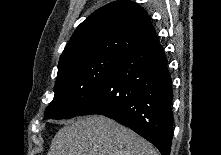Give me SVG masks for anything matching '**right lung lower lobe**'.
Segmentation results:
<instances>
[{
	"label": "right lung lower lobe",
	"instance_id": "1",
	"mask_svg": "<svg viewBox=\"0 0 221 155\" xmlns=\"http://www.w3.org/2000/svg\"><path fill=\"white\" fill-rule=\"evenodd\" d=\"M173 91L167 60L156 35L128 51L79 116L109 117L170 155Z\"/></svg>",
	"mask_w": 221,
	"mask_h": 155
}]
</instances>
